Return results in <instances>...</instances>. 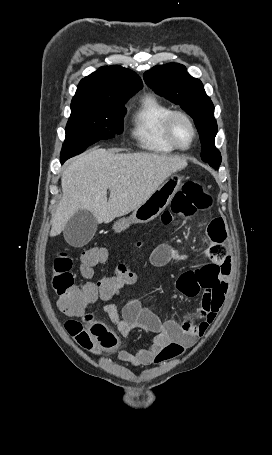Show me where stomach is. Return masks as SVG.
<instances>
[{
	"mask_svg": "<svg viewBox=\"0 0 272 455\" xmlns=\"http://www.w3.org/2000/svg\"><path fill=\"white\" fill-rule=\"evenodd\" d=\"M181 184L182 176L173 174L128 218L117 221L114 226L115 232L124 231L131 223H147L155 219L169 205Z\"/></svg>",
	"mask_w": 272,
	"mask_h": 455,
	"instance_id": "stomach-1",
	"label": "stomach"
}]
</instances>
